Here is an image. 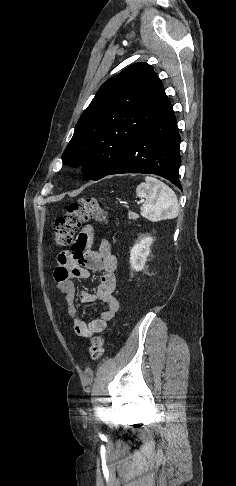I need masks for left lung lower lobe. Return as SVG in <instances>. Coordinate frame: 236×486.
I'll use <instances>...</instances> for the list:
<instances>
[{
  "label": "left lung lower lobe",
  "mask_w": 236,
  "mask_h": 486,
  "mask_svg": "<svg viewBox=\"0 0 236 486\" xmlns=\"http://www.w3.org/2000/svg\"><path fill=\"white\" fill-rule=\"evenodd\" d=\"M180 141L177 121L170 103L131 141L126 151L106 175L156 174L182 189L179 181Z\"/></svg>",
  "instance_id": "0a47b994"
}]
</instances>
